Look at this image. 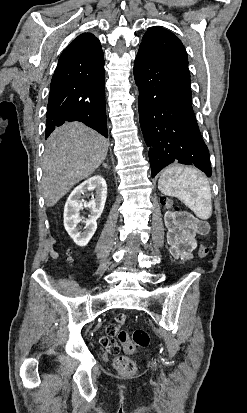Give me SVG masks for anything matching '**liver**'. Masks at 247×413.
Listing matches in <instances>:
<instances>
[{
  "label": "liver",
  "instance_id": "obj_1",
  "mask_svg": "<svg viewBox=\"0 0 247 413\" xmlns=\"http://www.w3.org/2000/svg\"><path fill=\"white\" fill-rule=\"evenodd\" d=\"M108 138L82 122H65L46 140L42 188L46 207H53L76 182L88 178L107 156Z\"/></svg>",
  "mask_w": 247,
  "mask_h": 413
}]
</instances>
